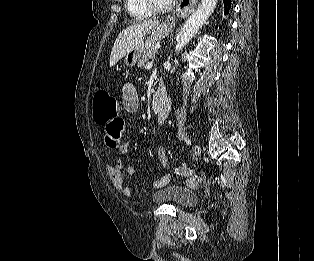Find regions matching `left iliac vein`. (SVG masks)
I'll use <instances>...</instances> for the list:
<instances>
[{"label": "left iliac vein", "mask_w": 314, "mask_h": 261, "mask_svg": "<svg viewBox=\"0 0 314 261\" xmlns=\"http://www.w3.org/2000/svg\"><path fill=\"white\" fill-rule=\"evenodd\" d=\"M200 153H201V147L198 144L194 145V147H193V155L194 156H198Z\"/></svg>", "instance_id": "left-iliac-vein-1"}]
</instances>
